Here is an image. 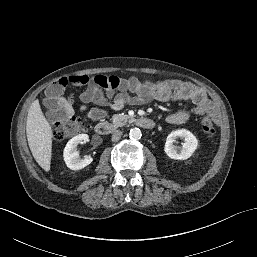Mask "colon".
<instances>
[{"mask_svg":"<svg viewBox=\"0 0 257 257\" xmlns=\"http://www.w3.org/2000/svg\"><path fill=\"white\" fill-rule=\"evenodd\" d=\"M89 78L85 75H74L70 77H62L56 80L50 87L52 95H60L68 83L75 85H86ZM59 119L55 122L52 128V135L56 140H65L73 137L85 129V123L80 118L72 113L70 102L66 101L61 103L58 111ZM202 131L208 136L213 138L215 135V127L208 115L203 116L201 120Z\"/></svg>","mask_w":257,"mask_h":257,"instance_id":"obj_1","label":"colon"}]
</instances>
